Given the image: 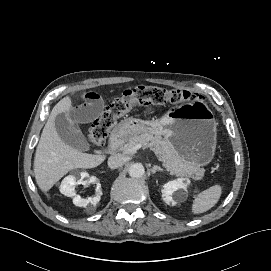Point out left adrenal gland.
I'll list each match as a JSON object with an SVG mask.
<instances>
[{
  "label": "left adrenal gland",
  "mask_w": 271,
  "mask_h": 271,
  "mask_svg": "<svg viewBox=\"0 0 271 271\" xmlns=\"http://www.w3.org/2000/svg\"><path fill=\"white\" fill-rule=\"evenodd\" d=\"M157 171H160V172H163V169L157 165H154L152 168H151V173L152 174H155Z\"/></svg>",
  "instance_id": "1"
}]
</instances>
